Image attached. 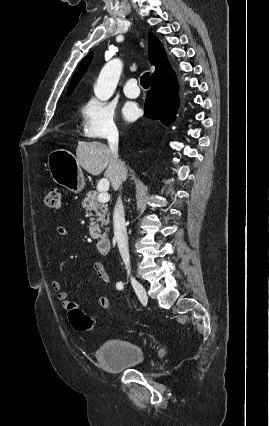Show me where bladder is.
Masks as SVG:
<instances>
[{
  "label": "bladder",
  "instance_id": "1",
  "mask_svg": "<svg viewBox=\"0 0 269 426\" xmlns=\"http://www.w3.org/2000/svg\"><path fill=\"white\" fill-rule=\"evenodd\" d=\"M95 356L99 364L110 372L131 370L146 361L144 349L125 339L105 340L98 346Z\"/></svg>",
  "mask_w": 269,
  "mask_h": 426
}]
</instances>
